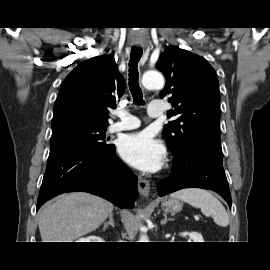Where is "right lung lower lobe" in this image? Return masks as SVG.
<instances>
[{"label": "right lung lower lobe", "mask_w": 270, "mask_h": 270, "mask_svg": "<svg viewBox=\"0 0 270 270\" xmlns=\"http://www.w3.org/2000/svg\"><path fill=\"white\" fill-rule=\"evenodd\" d=\"M69 191L103 197L120 208H133L137 176L116 155L115 146L102 149L77 143L50 147L37 210L49 199Z\"/></svg>", "instance_id": "98d812e1"}]
</instances>
